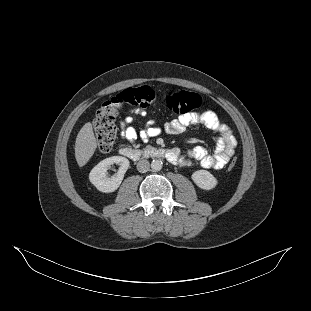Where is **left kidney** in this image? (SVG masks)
I'll return each mask as SVG.
<instances>
[{"mask_svg": "<svg viewBox=\"0 0 311 311\" xmlns=\"http://www.w3.org/2000/svg\"><path fill=\"white\" fill-rule=\"evenodd\" d=\"M193 180L198 186L204 189H210L216 184V180L213 175L205 170L195 172L193 174Z\"/></svg>", "mask_w": 311, "mask_h": 311, "instance_id": "1", "label": "left kidney"}]
</instances>
